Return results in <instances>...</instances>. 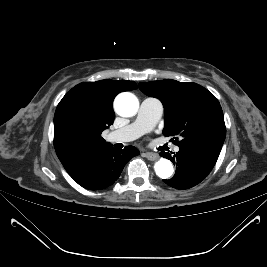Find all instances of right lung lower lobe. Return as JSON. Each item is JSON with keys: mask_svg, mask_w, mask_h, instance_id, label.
Returning a JSON list of instances; mask_svg holds the SVG:
<instances>
[{"mask_svg": "<svg viewBox=\"0 0 267 267\" xmlns=\"http://www.w3.org/2000/svg\"><path fill=\"white\" fill-rule=\"evenodd\" d=\"M139 153L133 146L117 150L110 144L100 145L83 152L64 168L82 187L100 190L111 186L126 163Z\"/></svg>", "mask_w": 267, "mask_h": 267, "instance_id": "obj_1", "label": "right lung lower lobe"}]
</instances>
